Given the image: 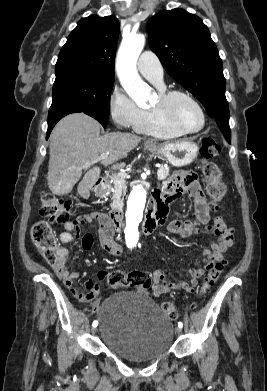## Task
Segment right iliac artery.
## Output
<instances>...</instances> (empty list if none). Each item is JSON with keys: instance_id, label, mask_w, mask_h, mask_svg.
Returning <instances> with one entry per match:
<instances>
[{"instance_id": "right-iliac-artery-1", "label": "right iliac artery", "mask_w": 267, "mask_h": 391, "mask_svg": "<svg viewBox=\"0 0 267 391\" xmlns=\"http://www.w3.org/2000/svg\"><path fill=\"white\" fill-rule=\"evenodd\" d=\"M92 325H93V327H96L98 325V322L94 321Z\"/></svg>"}]
</instances>
